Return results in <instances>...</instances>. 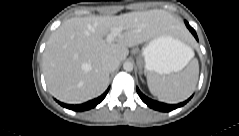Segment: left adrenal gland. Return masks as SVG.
Returning <instances> with one entry per match:
<instances>
[{
	"instance_id": "left-adrenal-gland-1",
	"label": "left adrenal gland",
	"mask_w": 239,
	"mask_h": 136,
	"mask_svg": "<svg viewBox=\"0 0 239 136\" xmlns=\"http://www.w3.org/2000/svg\"><path fill=\"white\" fill-rule=\"evenodd\" d=\"M140 78H141V73H140ZM141 80L143 81V79L141 78Z\"/></svg>"
}]
</instances>
